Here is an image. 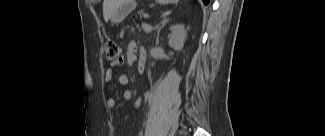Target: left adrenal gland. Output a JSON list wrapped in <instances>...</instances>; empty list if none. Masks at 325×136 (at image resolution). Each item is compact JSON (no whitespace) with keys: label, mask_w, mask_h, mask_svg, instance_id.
Segmentation results:
<instances>
[{"label":"left adrenal gland","mask_w":325,"mask_h":136,"mask_svg":"<svg viewBox=\"0 0 325 136\" xmlns=\"http://www.w3.org/2000/svg\"><path fill=\"white\" fill-rule=\"evenodd\" d=\"M169 21V18L168 17H165L161 22L160 24H158L156 26V29H157V38H156V43L158 44L159 42V34H160V31L161 29L166 25V23Z\"/></svg>","instance_id":"1"}]
</instances>
